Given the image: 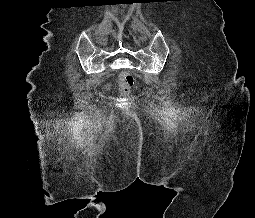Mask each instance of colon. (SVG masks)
<instances>
[{
	"mask_svg": "<svg viewBox=\"0 0 255 218\" xmlns=\"http://www.w3.org/2000/svg\"><path fill=\"white\" fill-rule=\"evenodd\" d=\"M135 80L133 75L127 71L123 70L119 74V86L123 93H128L134 86Z\"/></svg>",
	"mask_w": 255,
	"mask_h": 218,
	"instance_id": "5ec220e1",
	"label": "colon"
}]
</instances>
